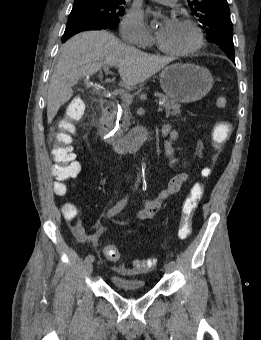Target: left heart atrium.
<instances>
[{
  "instance_id": "39dd6f15",
  "label": "left heart atrium",
  "mask_w": 261,
  "mask_h": 340,
  "mask_svg": "<svg viewBox=\"0 0 261 340\" xmlns=\"http://www.w3.org/2000/svg\"><path fill=\"white\" fill-rule=\"evenodd\" d=\"M177 21L174 18H166L163 22V26L159 31L160 35L169 34L177 25Z\"/></svg>"
}]
</instances>
